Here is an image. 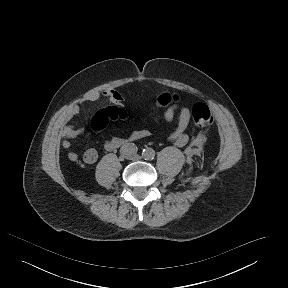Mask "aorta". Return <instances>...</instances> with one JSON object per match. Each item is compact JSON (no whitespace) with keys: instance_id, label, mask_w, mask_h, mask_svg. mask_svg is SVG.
I'll return each instance as SVG.
<instances>
[{"instance_id":"aorta-1","label":"aorta","mask_w":288,"mask_h":288,"mask_svg":"<svg viewBox=\"0 0 288 288\" xmlns=\"http://www.w3.org/2000/svg\"><path fill=\"white\" fill-rule=\"evenodd\" d=\"M154 156H155V152H154V150L151 149V148L145 149V150L143 151V157H144V159H146V160H151V159L154 158Z\"/></svg>"}]
</instances>
